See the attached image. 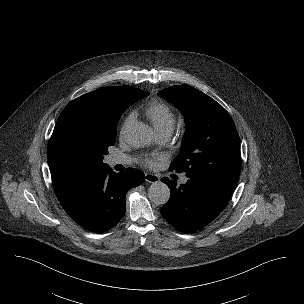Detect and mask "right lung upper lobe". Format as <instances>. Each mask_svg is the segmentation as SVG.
Returning <instances> with one entry per match:
<instances>
[{
  "instance_id": "cb5924a9",
  "label": "right lung upper lobe",
  "mask_w": 304,
  "mask_h": 304,
  "mask_svg": "<svg viewBox=\"0 0 304 304\" xmlns=\"http://www.w3.org/2000/svg\"><path fill=\"white\" fill-rule=\"evenodd\" d=\"M134 89L136 88L130 86L100 88L78 97L64 108L57 120L47 149L52 183L58 199L69 194L93 171L101 167L72 141L71 133L74 124L115 110Z\"/></svg>"
}]
</instances>
